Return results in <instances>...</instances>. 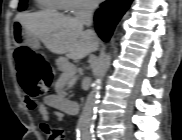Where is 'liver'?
<instances>
[{
    "instance_id": "obj_1",
    "label": "liver",
    "mask_w": 182,
    "mask_h": 140,
    "mask_svg": "<svg viewBox=\"0 0 182 140\" xmlns=\"http://www.w3.org/2000/svg\"><path fill=\"white\" fill-rule=\"evenodd\" d=\"M16 19L26 34L36 36L55 54H66L71 59L80 60L99 46L97 36L93 38L75 17L42 11L19 14Z\"/></svg>"
}]
</instances>
